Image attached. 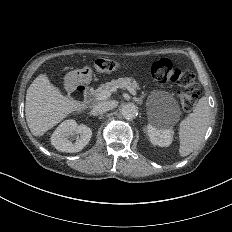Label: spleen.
I'll return each instance as SVG.
<instances>
[{
  "label": "spleen",
  "instance_id": "obj_1",
  "mask_svg": "<svg viewBox=\"0 0 232 232\" xmlns=\"http://www.w3.org/2000/svg\"><path fill=\"white\" fill-rule=\"evenodd\" d=\"M211 119V109L206 96H202L193 113L185 116L179 123V156L185 157L193 152L203 140Z\"/></svg>",
  "mask_w": 232,
  "mask_h": 232
}]
</instances>
